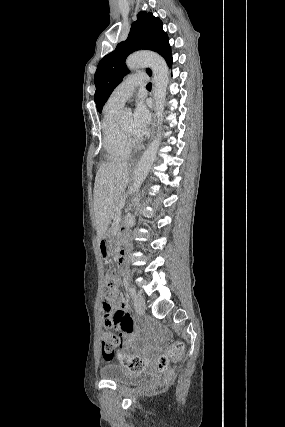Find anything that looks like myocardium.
<instances>
[{
    "instance_id": "myocardium-1",
    "label": "myocardium",
    "mask_w": 285,
    "mask_h": 427,
    "mask_svg": "<svg viewBox=\"0 0 285 427\" xmlns=\"http://www.w3.org/2000/svg\"><path fill=\"white\" fill-rule=\"evenodd\" d=\"M118 125H119V129H120L121 133L123 134L124 139L126 140V142L132 145V144L134 143V140H133L132 135H131L130 133H128V132L123 128V126H122V124H121V122H120V121L118 122Z\"/></svg>"
}]
</instances>
